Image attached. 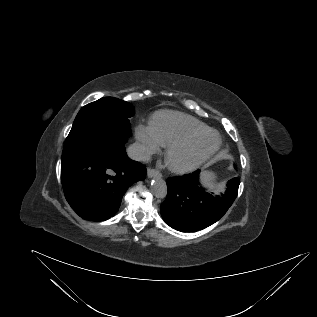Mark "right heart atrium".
I'll list each match as a JSON object with an SVG mask.
<instances>
[{
  "mask_svg": "<svg viewBox=\"0 0 317 317\" xmlns=\"http://www.w3.org/2000/svg\"><path fill=\"white\" fill-rule=\"evenodd\" d=\"M135 138L137 141V153L140 158H148L152 154L158 152L161 148L150 125L139 123L135 127Z\"/></svg>",
  "mask_w": 317,
  "mask_h": 317,
  "instance_id": "d8ad5b80",
  "label": "right heart atrium"
}]
</instances>
